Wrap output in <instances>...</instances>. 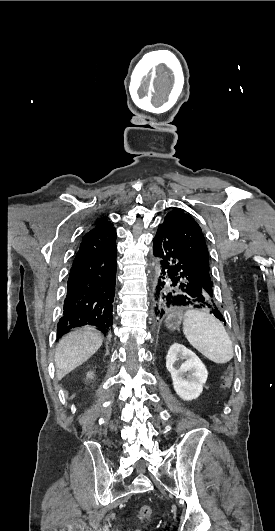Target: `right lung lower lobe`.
I'll return each mask as SVG.
<instances>
[{"label":"right lung lower lobe","instance_id":"98d812e1","mask_svg":"<svg viewBox=\"0 0 275 531\" xmlns=\"http://www.w3.org/2000/svg\"><path fill=\"white\" fill-rule=\"evenodd\" d=\"M116 237L115 228H95L84 235L70 270L58 339L84 325L97 326L104 334L112 329Z\"/></svg>","mask_w":275,"mask_h":531}]
</instances>
